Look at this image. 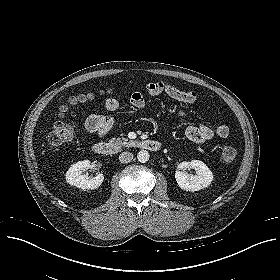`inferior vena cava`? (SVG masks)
Segmentation results:
<instances>
[{"instance_id":"602c4592","label":"inferior vena cava","mask_w":280,"mask_h":280,"mask_svg":"<svg viewBox=\"0 0 280 280\" xmlns=\"http://www.w3.org/2000/svg\"><path fill=\"white\" fill-rule=\"evenodd\" d=\"M133 159V154L130 153V152H122L120 155H119V160L121 163H129L131 162Z\"/></svg>"}]
</instances>
